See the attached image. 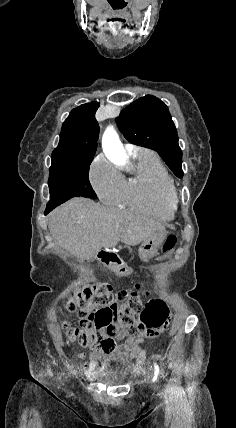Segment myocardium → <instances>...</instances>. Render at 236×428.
<instances>
[{
	"label": "myocardium",
	"instance_id": "myocardium-1",
	"mask_svg": "<svg viewBox=\"0 0 236 428\" xmlns=\"http://www.w3.org/2000/svg\"><path fill=\"white\" fill-rule=\"evenodd\" d=\"M169 194L175 200V202H177L179 194L176 187L173 190H171Z\"/></svg>",
	"mask_w": 236,
	"mask_h": 428
}]
</instances>
